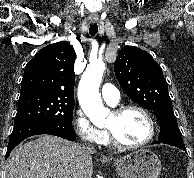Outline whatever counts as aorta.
<instances>
[{"mask_svg": "<svg viewBox=\"0 0 194 178\" xmlns=\"http://www.w3.org/2000/svg\"><path fill=\"white\" fill-rule=\"evenodd\" d=\"M104 70L105 63L102 60L90 63L83 73L78 87L80 106L94 124L104 122L108 114L99 93Z\"/></svg>", "mask_w": 194, "mask_h": 178, "instance_id": "1", "label": "aorta"}]
</instances>
